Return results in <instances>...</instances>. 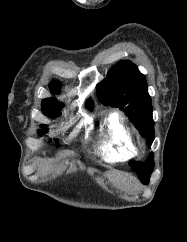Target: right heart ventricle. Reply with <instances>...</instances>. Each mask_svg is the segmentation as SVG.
Returning a JSON list of instances; mask_svg holds the SVG:
<instances>
[{
    "label": "right heart ventricle",
    "mask_w": 187,
    "mask_h": 242,
    "mask_svg": "<svg viewBox=\"0 0 187 242\" xmlns=\"http://www.w3.org/2000/svg\"><path fill=\"white\" fill-rule=\"evenodd\" d=\"M99 152L108 162L125 161L137 154L134 137L117 112L108 113L101 123Z\"/></svg>",
    "instance_id": "obj_1"
}]
</instances>
